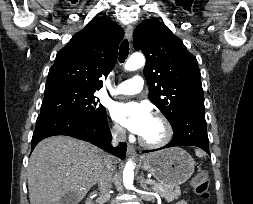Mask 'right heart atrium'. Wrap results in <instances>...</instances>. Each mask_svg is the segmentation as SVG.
<instances>
[{
    "label": "right heart atrium",
    "instance_id": "1",
    "mask_svg": "<svg viewBox=\"0 0 253 204\" xmlns=\"http://www.w3.org/2000/svg\"><path fill=\"white\" fill-rule=\"evenodd\" d=\"M111 133L115 138L121 139L124 137V130L123 128L117 124L114 123L111 127Z\"/></svg>",
    "mask_w": 253,
    "mask_h": 204
}]
</instances>
